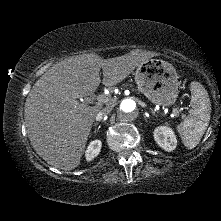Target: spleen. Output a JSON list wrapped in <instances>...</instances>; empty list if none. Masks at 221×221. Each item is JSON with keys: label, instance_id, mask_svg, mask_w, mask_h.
Returning <instances> with one entry per match:
<instances>
[{"label": "spleen", "instance_id": "obj_1", "mask_svg": "<svg viewBox=\"0 0 221 221\" xmlns=\"http://www.w3.org/2000/svg\"><path fill=\"white\" fill-rule=\"evenodd\" d=\"M191 113L177 126L182 141L188 149L195 148L206 131L211 113V104L206 89L197 81L190 84Z\"/></svg>", "mask_w": 221, "mask_h": 221}]
</instances>
